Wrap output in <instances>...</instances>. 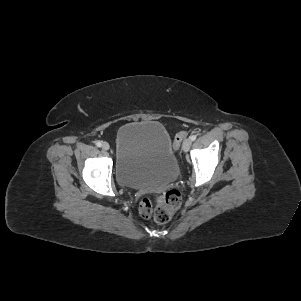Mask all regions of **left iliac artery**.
<instances>
[{"instance_id":"1","label":"left iliac artery","mask_w":301,"mask_h":301,"mask_svg":"<svg viewBox=\"0 0 301 301\" xmlns=\"http://www.w3.org/2000/svg\"><path fill=\"white\" fill-rule=\"evenodd\" d=\"M190 139H191L192 141L196 140V135H191V136H190Z\"/></svg>"}]
</instances>
